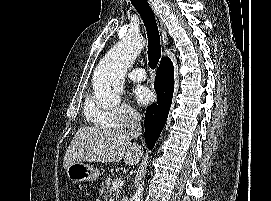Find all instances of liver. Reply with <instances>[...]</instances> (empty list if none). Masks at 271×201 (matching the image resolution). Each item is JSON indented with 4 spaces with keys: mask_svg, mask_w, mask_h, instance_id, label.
<instances>
[{
    "mask_svg": "<svg viewBox=\"0 0 271 201\" xmlns=\"http://www.w3.org/2000/svg\"><path fill=\"white\" fill-rule=\"evenodd\" d=\"M126 130L85 126L79 128L66 150L63 167L76 162H119L127 165L139 163L143 149L132 143Z\"/></svg>",
    "mask_w": 271,
    "mask_h": 201,
    "instance_id": "liver-1",
    "label": "liver"
}]
</instances>
